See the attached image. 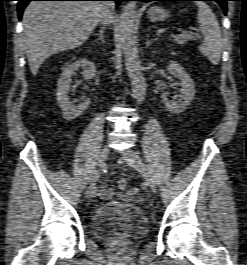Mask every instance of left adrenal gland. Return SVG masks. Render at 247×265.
<instances>
[{
	"label": "left adrenal gland",
	"instance_id": "1",
	"mask_svg": "<svg viewBox=\"0 0 247 265\" xmlns=\"http://www.w3.org/2000/svg\"><path fill=\"white\" fill-rule=\"evenodd\" d=\"M154 41V39H149V34H146V48H148L152 42Z\"/></svg>",
	"mask_w": 247,
	"mask_h": 265
}]
</instances>
